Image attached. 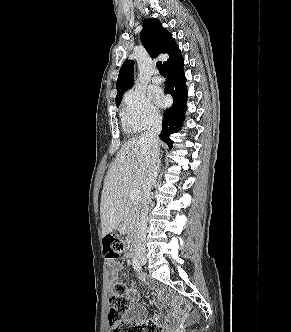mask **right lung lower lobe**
<instances>
[{"instance_id": "98d812e1", "label": "right lung lower lobe", "mask_w": 291, "mask_h": 332, "mask_svg": "<svg viewBox=\"0 0 291 332\" xmlns=\"http://www.w3.org/2000/svg\"><path fill=\"white\" fill-rule=\"evenodd\" d=\"M184 60L182 56L165 67L168 77L165 83V93L172 95L173 105L164 111L163 125L160 136L169 146L172 141L170 134L180 130L186 111L187 90L185 86L186 78L183 71Z\"/></svg>"}]
</instances>
